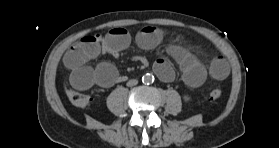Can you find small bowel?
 I'll return each mask as SVG.
<instances>
[{
  "mask_svg": "<svg viewBox=\"0 0 279 148\" xmlns=\"http://www.w3.org/2000/svg\"><path fill=\"white\" fill-rule=\"evenodd\" d=\"M163 40V32L155 26H145L136 35V43L143 49H153ZM131 43L129 32L122 27L111 29L106 35H87L74 43L64 55V64L70 70V83L78 90H87L94 85L110 88L119 82L120 76L109 62H101L95 68L88 63L101 54L119 55ZM167 54L178 64L184 82L190 87H198L209 75L215 80H223L229 74V66L221 56L212 58L206 68L192 53L181 46L170 45ZM155 73L163 81H171L174 72L165 59L154 63Z\"/></svg>",
  "mask_w": 279,
  "mask_h": 148,
  "instance_id": "1",
  "label": "small bowel"
}]
</instances>
